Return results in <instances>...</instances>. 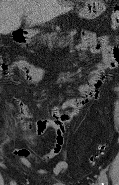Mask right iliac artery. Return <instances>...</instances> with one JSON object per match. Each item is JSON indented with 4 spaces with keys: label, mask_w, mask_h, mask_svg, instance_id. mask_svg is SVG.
<instances>
[{
    "label": "right iliac artery",
    "mask_w": 119,
    "mask_h": 185,
    "mask_svg": "<svg viewBox=\"0 0 119 185\" xmlns=\"http://www.w3.org/2000/svg\"><path fill=\"white\" fill-rule=\"evenodd\" d=\"M12 185H16V183H15V182H13V183H12Z\"/></svg>",
    "instance_id": "1"
}]
</instances>
